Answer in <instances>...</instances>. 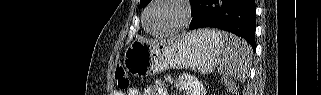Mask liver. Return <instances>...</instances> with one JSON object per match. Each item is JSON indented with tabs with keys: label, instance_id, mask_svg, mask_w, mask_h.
Returning a JSON list of instances; mask_svg holds the SVG:
<instances>
[{
	"label": "liver",
	"instance_id": "1",
	"mask_svg": "<svg viewBox=\"0 0 321 95\" xmlns=\"http://www.w3.org/2000/svg\"><path fill=\"white\" fill-rule=\"evenodd\" d=\"M174 40L168 41V43H172ZM149 42H156V41H149Z\"/></svg>",
	"mask_w": 321,
	"mask_h": 95
}]
</instances>
